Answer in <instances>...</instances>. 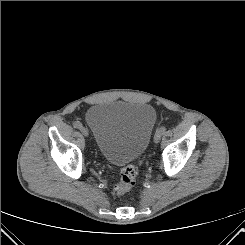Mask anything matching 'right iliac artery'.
Segmentation results:
<instances>
[{
  "label": "right iliac artery",
  "mask_w": 245,
  "mask_h": 245,
  "mask_svg": "<svg viewBox=\"0 0 245 245\" xmlns=\"http://www.w3.org/2000/svg\"><path fill=\"white\" fill-rule=\"evenodd\" d=\"M73 126L74 128L80 129L82 127V124L79 121H74Z\"/></svg>",
  "instance_id": "obj_1"
}]
</instances>
